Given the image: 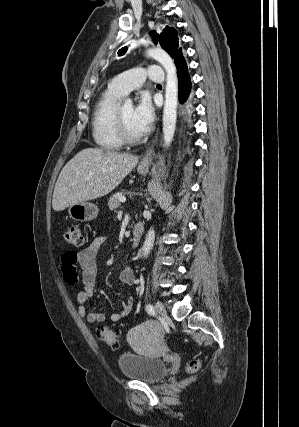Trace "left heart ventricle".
Returning a JSON list of instances; mask_svg holds the SVG:
<instances>
[{"mask_svg":"<svg viewBox=\"0 0 299 427\" xmlns=\"http://www.w3.org/2000/svg\"><path fill=\"white\" fill-rule=\"evenodd\" d=\"M123 119L128 131L132 135H139L142 132L137 128L133 120V107L131 105H122L121 107Z\"/></svg>","mask_w":299,"mask_h":427,"instance_id":"obj_1","label":"left heart ventricle"}]
</instances>
